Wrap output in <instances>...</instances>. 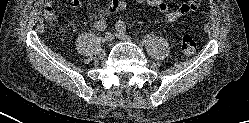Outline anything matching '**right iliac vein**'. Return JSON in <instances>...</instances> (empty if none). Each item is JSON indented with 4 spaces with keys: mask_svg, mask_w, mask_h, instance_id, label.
<instances>
[{
    "mask_svg": "<svg viewBox=\"0 0 249 123\" xmlns=\"http://www.w3.org/2000/svg\"><path fill=\"white\" fill-rule=\"evenodd\" d=\"M114 39V35L111 32H107L105 34V42L106 43H111Z\"/></svg>",
    "mask_w": 249,
    "mask_h": 123,
    "instance_id": "right-iliac-vein-1",
    "label": "right iliac vein"
}]
</instances>
